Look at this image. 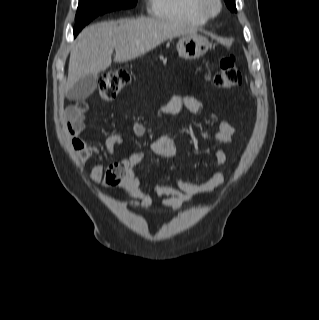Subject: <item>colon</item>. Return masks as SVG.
<instances>
[{"mask_svg":"<svg viewBox=\"0 0 319 320\" xmlns=\"http://www.w3.org/2000/svg\"><path fill=\"white\" fill-rule=\"evenodd\" d=\"M209 79L219 88L229 89L240 84L241 74L235 65V60L232 56H222L219 62V70L211 75ZM130 73L124 68L114 69L105 74L100 81L99 95L103 101H113L118 94L130 82ZM120 162H115L108 173L109 178L112 179V172L121 169Z\"/></svg>","mask_w":319,"mask_h":320,"instance_id":"obj_1","label":"colon"}]
</instances>
